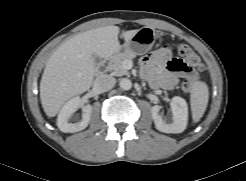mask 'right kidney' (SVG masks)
Instances as JSON below:
<instances>
[{"label":"right kidney","instance_id":"right-kidney-1","mask_svg":"<svg viewBox=\"0 0 246 181\" xmlns=\"http://www.w3.org/2000/svg\"><path fill=\"white\" fill-rule=\"evenodd\" d=\"M80 107V98L74 97L64 104L57 118V126L64 133H75L85 129L91 118L92 106L82 107V119L75 123H69V117Z\"/></svg>","mask_w":246,"mask_h":181}]
</instances>
